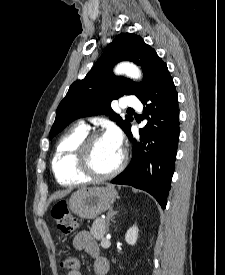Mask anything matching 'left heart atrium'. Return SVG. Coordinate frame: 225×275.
Segmentation results:
<instances>
[{
	"instance_id": "1",
	"label": "left heart atrium",
	"mask_w": 225,
	"mask_h": 275,
	"mask_svg": "<svg viewBox=\"0 0 225 275\" xmlns=\"http://www.w3.org/2000/svg\"><path fill=\"white\" fill-rule=\"evenodd\" d=\"M105 139L110 142L113 146L121 150L122 147V134L120 130L115 127L111 126L108 128L104 135Z\"/></svg>"
}]
</instances>
